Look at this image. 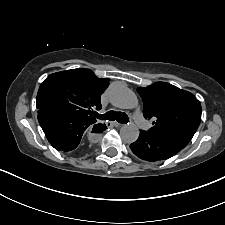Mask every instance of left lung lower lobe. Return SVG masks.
Listing matches in <instances>:
<instances>
[{"mask_svg": "<svg viewBox=\"0 0 225 225\" xmlns=\"http://www.w3.org/2000/svg\"><path fill=\"white\" fill-rule=\"evenodd\" d=\"M190 140L183 136H154L141 130L138 139L130 145V148L140 159L155 162L174 156Z\"/></svg>", "mask_w": 225, "mask_h": 225, "instance_id": "obj_1", "label": "left lung lower lobe"}]
</instances>
